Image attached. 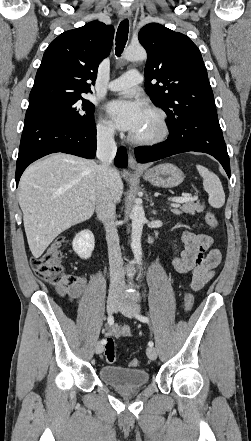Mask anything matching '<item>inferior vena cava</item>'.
<instances>
[{
    "mask_svg": "<svg viewBox=\"0 0 251 441\" xmlns=\"http://www.w3.org/2000/svg\"><path fill=\"white\" fill-rule=\"evenodd\" d=\"M116 151L114 130H99L96 156L101 163L97 169L96 213L106 230L111 294L121 292L125 287L123 260L115 224L116 195L113 192L114 173L111 167Z\"/></svg>",
    "mask_w": 251,
    "mask_h": 441,
    "instance_id": "602c4592",
    "label": "inferior vena cava"
}]
</instances>
